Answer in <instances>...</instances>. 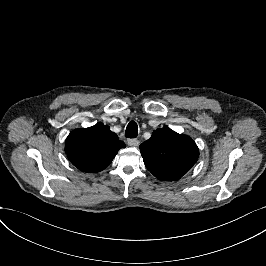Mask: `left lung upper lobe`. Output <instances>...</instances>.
Returning a JSON list of instances; mask_svg holds the SVG:
<instances>
[{"label": "left lung upper lobe", "mask_w": 266, "mask_h": 266, "mask_svg": "<svg viewBox=\"0 0 266 266\" xmlns=\"http://www.w3.org/2000/svg\"><path fill=\"white\" fill-rule=\"evenodd\" d=\"M147 169L163 181L179 180L196 163L199 150L189 136L159 128L140 146Z\"/></svg>", "instance_id": "obj_1"}]
</instances>
